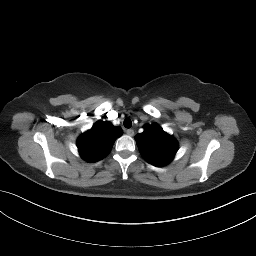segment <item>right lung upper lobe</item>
I'll use <instances>...</instances> for the list:
<instances>
[{
	"label": "right lung upper lobe",
	"mask_w": 256,
	"mask_h": 256,
	"mask_svg": "<svg viewBox=\"0 0 256 256\" xmlns=\"http://www.w3.org/2000/svg\"><path fill=\"white\" fill-rule=\"evenodd\" d=\"M122 135L120 127L108 121H97L92 128L77 140L81 157L88 162H97L109 154L115 140Z\"/></svg>",
	"instance_id": "1"
}]
</instances>
